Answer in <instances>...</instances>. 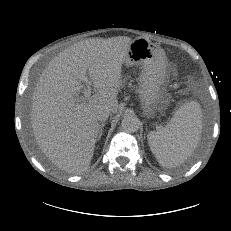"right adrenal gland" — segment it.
I'll list each match as a JSON object with an SVG mask.
<instances>
[{
    "label": "right adrenal gland",
    "mask_w": 231,
    "mask_h": 231,
    "mask_svg": "<svg viewBox=\"0 0 231 231\" xmlns=\"http://www.w3.org/2000/svg\"><path fill=\"white\" fill-rule=\"evenodd\" d=\"M104 126H105V123H102L101 127H100V131H99V135H98V139L97 140H99L101 138V136L103 135V128H104Z\"/></svg>",
    "instance_id": "right-adrenal-gland-1"
}]
</instances>
